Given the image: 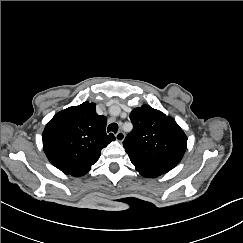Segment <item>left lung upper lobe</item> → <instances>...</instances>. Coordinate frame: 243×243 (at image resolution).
<instances>
[{
	"label": "left lung upper lobe",
	"instance_id": "5c2ea615",
	"mask_svg": "<svg viewBox=\"0 0 243 243\" xmlns=\"http://www.w3.org/2000/svg\"><path fill=\"white\" fill-rule=\"evenodd\" d=\"M133 130L123 146L131 159L174 168L187 148V137L176 121L148 105L130 113Z\"/></svg>",
	"mask_w": 243,
	"mask_h": 243
}]
</instances>
